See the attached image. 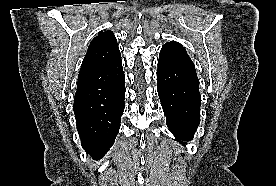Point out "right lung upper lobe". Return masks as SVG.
Returning <instances> with one entry per match:
<instances>
[{
  "instance_id": "obj_1",
  "label": "right lung upper lobe",
  "mask_w": 276,
  "mask_h": 186,
  "mask_svg": "<svg viewBox=\"0 0 276 186\" xmlns=\"http://www.w3.org/2000/svg\"><path fill=\"white\" fill-rule=\"evenodd\" d=\"M123 74L121 54L112 31H101L90 43L81 65L77 88L108 83Z\"/></svg>"
}]
</instances>
